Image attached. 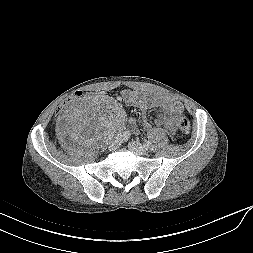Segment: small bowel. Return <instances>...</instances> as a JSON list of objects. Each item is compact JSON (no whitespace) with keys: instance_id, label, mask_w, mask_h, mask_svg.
<instances>
[{"instance_id":"small-bowel-1","label":"small bowel","mask_w":253,"mask_h":253,"mask_svg":"<svg viewBox=\"0 0 253 253\" xmlns=\"http://www.w3.org/2000/svg\"><path fill=\"white\" fill-rule=\"evenodd\" d=\"M122 97L127 105L137 107L143 112L151 109L158 110L159 113L155 120L156 127L164 128L169 133L175 132L176 122L183 113V106L178 100L134 90H124ZM129 124L134 128L135 133H137L135 119H130ZM143 126L148 131L153 130L152 125L146 117H144Z\"/></svg>"}]
</instances>
